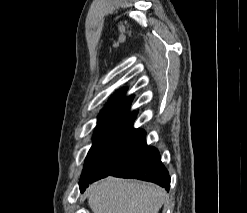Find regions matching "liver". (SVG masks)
Instances as JSON below:
<instances>
[{
    "mask_svg": "<svg viewBox=\"0 0 247 213\" xmlns=\"http://www.w3.org/2000/svg\"><path fill=\"white\" fill-rule=\"evenodd\" d=\"M165 198L159 186L108 177L90 187L88 205L93 213H158Z\"/></svg>",
    "mask_w": 247,
    "mask_h": 213,
    "instance_id": "liver-1",
    "label": "liver"
}]
</instances>
